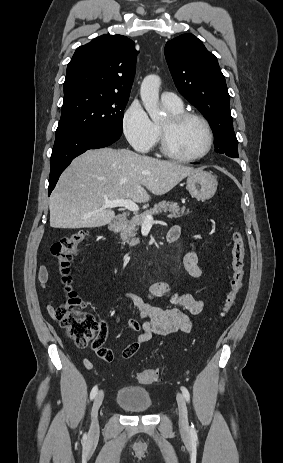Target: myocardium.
<instances>
[{
	"label": "myocardium",
	"instance_id": "1",
	"mask_svg": "<svg viewBox=\"0 0 283 463\" xmlns=\"http://www.w3.org/2000/svg\"><path fill=\"white\" fill-rule=\"evenodd\" d=\"M168 126L159 125V143L161 152L168 158L182 163H193L205 158L211 151L214 143V133L209 121L201 114L192 111H182L180 113L170 114L168 117ZM195 119L202 123L207 133V144L202 153L196 156L186 157L177 154L169 145L168 128H175L183 122Z\"/></svg>",
	"mask_w": 283,
	"mask_h": 463
}]
</instances>
